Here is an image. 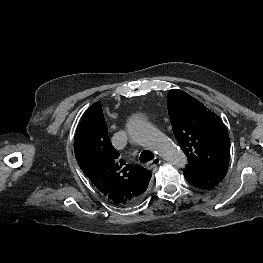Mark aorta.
<instances>
[{
	"label": "aorta",
	"mask_w": 263,
	"mask_h": 263,
	"mask_svg": "<svg viewBox=\"0 0 263 263\" xmlns=\"http://www.w3.org/2000/svg\"><path fill=\"white\" fill-rule=\"evenodd\" d=\"M127 130L134 141L150 148L170 164L180 168L186 165L185 154L145 120L132 117L127 122Z\"/></svg>",
	"instance_id": "aorta-1"
}]
</instances>
